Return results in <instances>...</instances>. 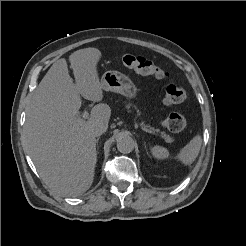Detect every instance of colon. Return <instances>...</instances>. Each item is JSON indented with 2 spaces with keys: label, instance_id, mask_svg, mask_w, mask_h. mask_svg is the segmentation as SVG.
I'll use <instances>...</instances> for the list:
<instances>
[{
  "label": "colon",
  "instance_id": "5ec220e1",
  "mask_svg": "<svg viewBox=\"0 0 246 246\" xmlns=\"http://www.w3.org/2000/svg\"><path fill=\"white\" fill-rule=\"evenodd\" d=\"M120 62L125 67L143 76H153L157 79H164L169 76L163 68L142 56L128 53L121 56ZM185 99V90L181 86L171 83L164 91L162 103L170 107L182 103ZM162 125L172 132H181L187 127V120L180 114L172 113L162 120Z\"/></svg>",
  "mask_w": 246,
  "mask_h": 246
}]
</instances>
